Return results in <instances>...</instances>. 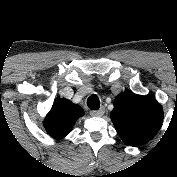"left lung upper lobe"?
Instances as JSON below:
<instances>
[{"label": "left lung upper lobe", "instance_id": "5c2ea615", "mask_svg": "<svg viewBox=\"0 0 177 177\" xmlns=\"http://www.w3.org/2000/svg\"><path fill=\"white\" fill-rule=\"evenodd\" d=\"M111 120L125 144L140 146L157 133L163 120V110L151 96L124 92L115 98Z\"/></svg>", "mask_w": 177, "mask_h": 177}]
</instances>
